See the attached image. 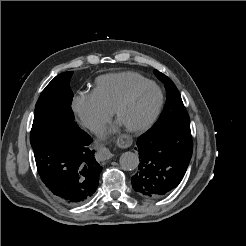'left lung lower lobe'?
<instances>
[{
    "label": "left lung lower lobe",
    "mask_w": 246,
    "mask_h": 246,
    "mask_svg": "<svg viewBox=\"0 0 246 246\" xmlns=\"http://www.w3.org/2000/svg\"><path fill=\"white\" fill-rule=\"evenodd\" d=\"M138 172L132 177L134 190L145 198H161L176 188L189 165L193 143L190 127L148 131L137 140Z\"/></svg>",
    "instance_id": "obj_1"
}]
</instances>
